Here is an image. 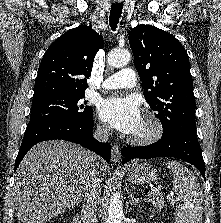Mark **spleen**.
Here are the masks:
<instances>
[{"instance_id": "spleen-1", "label": "spleen", "mask_w": 221, "mask_h": 223, "mask_svg": "<svg viewBox=\"0 0 221 223\" xmlns=\"http://www.w3.org/2000/svg\"><path fill=\"white\" fill-rule=\"evenodd\" d=\"M173 172V190L178 202L175 223H201L203 193L191 170L177 161L165 163Z\"/></svg>"}]
</instances>
